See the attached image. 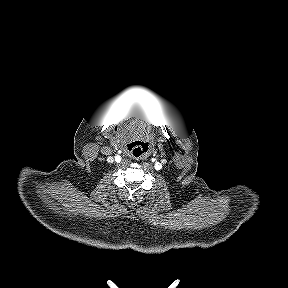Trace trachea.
<instances>
[{
	"label": "trachea",
	"mask_w": 288,
	"mask_h": 288,
	"mask_svg": "<svg viewBox=\"0 0 288 288\" xmlns=\"http://www.w3.org/2000/svg\"><path fill=\"white\" fill-rule=\"evenodd\" d=\"M127 149L134 158H139L148 151L149 145L141 140H133L127 144Z\"/></svg>",
	"instance_id": "1"
}]
</instances>
